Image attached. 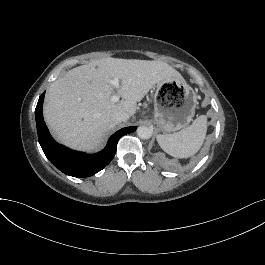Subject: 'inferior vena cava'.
I'll list each match as a JSON object with an SVG mask.
<instances>
[{
  "label": "inferior vena cava",
  "mask_w": 265,
  "mask_h": 265,
  "mask_svg": "<svg viewBox=\"0 0 265 265\" xmlns=\"http://www.w3.org/2000/svg\"><path fill=\"white\" fill-rule=\"evenodd\" d=\"M128 119H129V113L125 111H117L112 114V120L116 124L127 121Z\"/></svg>",
  "instance_id": "1"
}]
</instances>
